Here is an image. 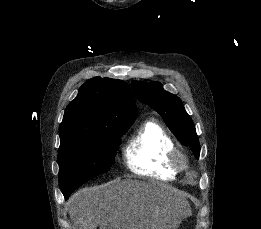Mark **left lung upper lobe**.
<instances>
[{
	"mask_svg": "<svg viewBox=\"0 0 261 229\" xmlns=\"http://www.w3.org/2000/svg\"><path fill=\"white\" fill-rule=\"evenodd\" d=\"M134 95L142 103L157 111L176 138L188 146L195 157L200 155V144L191 117L176 95L165 91L159 82L132 81Z\"/></svg>",
	"mask_w": 261,
	"mask_h": 229,
	"instance_id": "left-lung-upper-lobe-1",
	"label": "left lung upper lobe"
}]
</instances>
